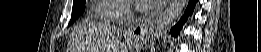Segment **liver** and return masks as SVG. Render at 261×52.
Returning <instances> with one entry per match:
<instances>
[{
  "mask_svg": "<svg viewBox=\"0 0 261 52\" xmlns=\"http://www.w3.org/2000/svg\"><path fill=\"white\" fill-rule=\"evenodd\" d=\"M86 34L88 36L87 50L90 52H104L101 50H105L107 44L121 38L122 31L104 23H89Z\"/></svg>",
  "mask_w": 261,
  "mask_h": 52,
  "instance_id": "6515ba94",
  "label": "liver"
}]
</instances>
